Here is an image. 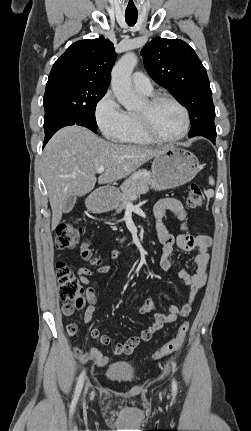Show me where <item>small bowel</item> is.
<instances>
[{"label":"small bowel","instance_id":"c3829d8e","mask_svg":"<svg viewBox=\"0 0 251 431\" xmlns=\"http://www.w3.org/2000/svg\"><path fill=\"white\" fill-rule=\"evenodd\" d=\"M180 221V232L173 235L168 231L164 224V219L168 214ZM153 216L155 221V232L159 242L162 245L161 258L159 260L160 268L171 273V261L169 259L175 247L186 251L195 253L194 273H189L187 270L182 269L179 272V278L189 287L190 292L187 301L181 306H170L168 314L155 312V304L152 297L148 296L144 304L139 308V315H151L152 323L137 336L130 337L124 343H116L113 346V353L115 355L131 354L141 342H147L151 339L152 335L164 327L165 325L172 324L180 318L187 317L192 311L193 305L196 300L198 291L203 287L206 280L207 267L209 263V248L211 246V238L207 235H191L187 232L186 227V210L183 203L174 198L162 199L156 202L153 207ZM122 255V251L115 250L110 255V260H115ZM112 270L110 264H105L97 267L95 270L81 267L78 269L77 274L80 281L86 286L87 293V307L84 311L85 323H91L93 315L96 310L97 297L95 289L90 284V277L95 274H105ZM70 313H63L65 317H70ZM69 335L73 336L77 333V326L69 324L67 326ZM91 337L101 345H108L112 342V337L102 334L99 327L94 325L91 328ZM72 352H76L74 360L81 362V367H86L91 362L88 357L90 350H84L80 345L72 347ZM94 350H98L94 348ZM93 351V350H92ZM99 351V350H98Z\"/></svg>","mask_w":251,"mask_h":431}]
</instances>
